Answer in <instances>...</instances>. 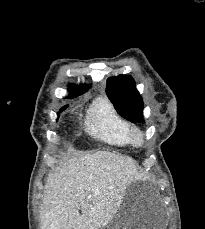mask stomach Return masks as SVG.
Segmentation results:
<instances>
[{"instance_id": "0dacf381", "label": "stomach", "mask_w": 205, "mask_h": 229, "mask_svg": "<svg viewBox=\"0 0 205 229\" xmlns=\"http://www.w3.org/2000/svg\"><path fill=\"white\" fill-rule=\"evenodd\" d=\"M164 204L152 196L126 194L114 217L100 229H166Z\"/></svg>"}]
</instances>
